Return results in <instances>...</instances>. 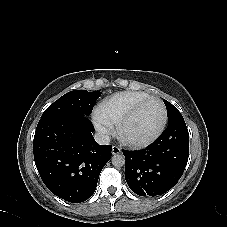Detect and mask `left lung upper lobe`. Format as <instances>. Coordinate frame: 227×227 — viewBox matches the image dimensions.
Returning <instances> with one entry per match:
<instances>
[{
    "mask_svg": "<svg viewBox=\"0 0 227 227\" xmlns=\"http://www.w3.org/2000/svg\"><path fill=\"white\" fill-rule=\"evenodd\" d=\"M163 101L167 108L168 122L181 116L180 112L170 102L165 99Z\"/></svg>",
    "mask_w": 227,
    "mask_h": 227,
    "instance_id": "left-lung-upper-lobe-1",
    "label": "left lung upper lobe"
}]
</instances>
